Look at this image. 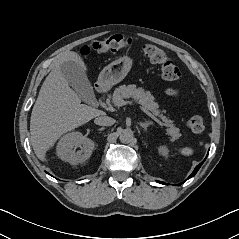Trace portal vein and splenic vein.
I'll use <instances>...</instances> for the list:
<instances>
[{"label": "portal vein and splenic vein", "mask_w": 239, "mask_h": 239, "mask_svg": "<svg viewBox=\"0 0 239 239\" xmlns=\"http://www.w3.org/2000/svg\"><path fill=\"white\" fill-rule=\"evenodd\" d=\"M126 103L131 104L132 102H126L124 100H117L114 102V105L120 107V106L125 105ZM139 107L144 113H146L149 117H151L153 120H155L159 125H161V126L164 125L158 118H156L154 115H152L146 108H144L142 106H139Z\"/></svg>", "instance_id": "portal-vein-and-splenic-vein-1"}]
</instances>
